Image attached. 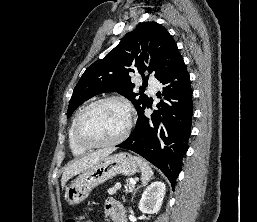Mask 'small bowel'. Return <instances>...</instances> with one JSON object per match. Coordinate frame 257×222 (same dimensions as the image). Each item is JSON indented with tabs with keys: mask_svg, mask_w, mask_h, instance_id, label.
<instances>
[{
	"mask_svg": "<svg viewBox=\"0 0 257 222\" xmlns=\"http://www.w3.org/2000/svg\"><path fill=\"white\" fill-rule=\"evenodd\" d=\"M105 213L110 222H126L125 211L115 200H107L105 204Z\"/></svg>",
	"mask_w": 257,
	"mask_h": 222,
	"instance_id": "small-bowel-1",
	"label": "small bowel"
}]
</instances>
